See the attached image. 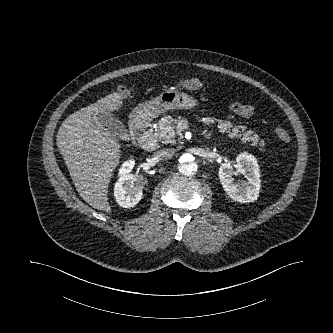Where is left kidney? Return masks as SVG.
Here are the masks:
<instances>
[{
    "instance_id": "5707ae66",
    "label": "left kidney",
    "mask_w": 333,
    "mask_h": 333,
    "mask_svg": "<svg viewBox=\"0 0 333 333\" xmlns=\"http://www.w3.org/2000/svg\"><path fill=\"white\" fill-rule=\"evenodd\" d=\"M237 172L245 174L246 181H235ZM219 179L226 194L234 201L249 203L259 196L260 170L256 158L251 154L241 153L236 163H223L219 168Z\"/></svg>"
}]
</instances>
